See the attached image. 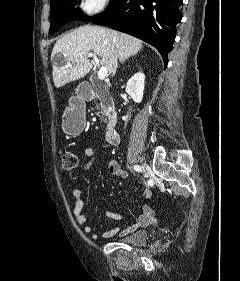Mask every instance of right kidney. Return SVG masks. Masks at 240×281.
Returning <instances> with one entry per match:
<instances>
[{
    "label": "right kidney",
    "instance_id": "right-kidney-1",
    "mask_svg": "<svg viewBox=\"0 0 240 281\" xmlns=\"http://www.w3.org/2000/svg\"><path fill=\"white\" fill-rule=\"evenodd\" d=\"M145 86V75L142 72L136 73L131 77L126 85V92L136 103H140L143 99Z\"/></svg>",
    "mask_w": 240,
    "mask_h": 281
}]
</instances>
